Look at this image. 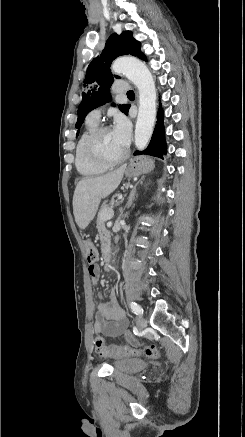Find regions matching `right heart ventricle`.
Listing matches in <instances>:
<instances>
[{
    "label": "right heart ventricle",
    "mask_w": 245,
    "mask_h": 437,
    "mask_svg": "<svg viewBox=\"0 0 245 437\" xmlns=\"http://www.w3.org/2000/svg\"><path fill=\"white\" fill-rule=\"evenodd\" d=\"M98 127V123L86 120L84 129L80 134L75 147V166L83 176H97L107 171L108 167L93 162L86 154L85 141L88 135Z\"/></svg>",
    "instance_id": "right-heart-ventricle-1"
}]
</instances>
